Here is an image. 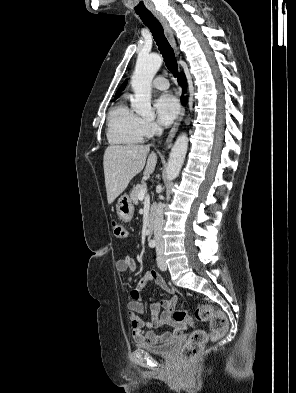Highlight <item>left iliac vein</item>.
Here are the masks:
<instances>
[{
  "mask_svg": "<svg viewBox=\"0 0 296 393\" xmlns=\"http://www.w3.org/2000/svg\"><path fill=\"white\" fill-rule=\"evenodd\" d=\"M157 264L160 270L166 271L167 270V264L165 262V257L163 255L162 250L157 249Z\"/></svg>",
  "mask_w": 296,
  "mask_h": 393,
  "instance_id": "1",
  "label": "left iliac vein"
}]
</instances>
